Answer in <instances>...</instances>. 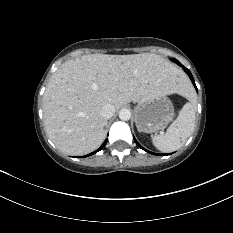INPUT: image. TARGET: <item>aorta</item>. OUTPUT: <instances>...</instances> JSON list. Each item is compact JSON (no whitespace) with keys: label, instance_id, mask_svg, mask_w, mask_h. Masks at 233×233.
Returning <instances> with one entry per match:
<instances>
[{"label":"aorta","instance_id":"1","mask_svg":"<svg viewBox=\"0 0 233 233\" xmlns=\"http://www.w3.org/2000/svg\"><path fill=\"white\" fill-rule=\"evenodd\" d=\"M119 118L122 121H128L131 118V112L129 109L123 108L119 111Z\"/></svg>","mask_w":233,"mask_h":233}]
</instances>
